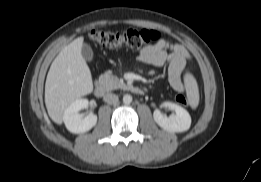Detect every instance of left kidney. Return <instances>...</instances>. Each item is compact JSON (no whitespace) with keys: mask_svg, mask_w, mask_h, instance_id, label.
<instances>
[{"mask_svg":"<svg viewBox=\"0 0 261 182\" xmlns=\"http://www.w3.org/2000/svg\"><path fill=\"white\" fill-rule=\"evenodd\" d=\"M163 105L171 110H174L175 114L167 117L163 115L158 109L154 111V120L162 129L169 132L179 133L185 132L190 128L191 117L186 109L171 102H165Z\"/></svg>","mask_w":261,"mask_h":182,"instance_id":"obj_1","label":"left kidney"}]
</instances>
